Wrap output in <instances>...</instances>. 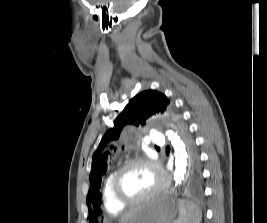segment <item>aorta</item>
<instances>
[{"label":"aorta","mask_w":267,"mask_h":223,"mask_svg":"<svg viewBox=\"0 0 267 223\" xmlns=\"http://www.w3.org/2000/svg\"><path fill=\"white\" fill-rule=\"evenodd\" d=\"M166 135L171 141V145L174 149L175 170L172 188L177 189V187H179L185 180L186 174L188 172V154L184 142L181 140V138L176 132L168 130L166 131Z\"/></svg>","instance_id":"1"}]
</instances>
